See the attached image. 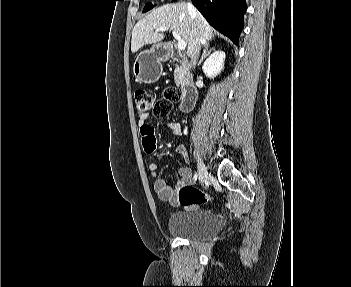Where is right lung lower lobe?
I'll return each mask as SVG.
<instances>
[{"label":"right lung lower lobe","instance_id":"1","mask_svg":"<svg viewBox=\"0 0 351 287\" xmlns=\"http://www.w3.org/2000/svg\"><path fill=\"white\" fill-rule=\"evenodd\" d=\"M192 3L210 25L238 43L246 11L245 0H192Z\"/></svg>","mask_w":351,"mask_h":287}]
</instances>
